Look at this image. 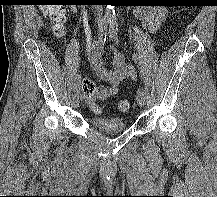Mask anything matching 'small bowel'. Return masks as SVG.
<instances>
[{"label": "small bowel", "mask_w": 217, "mask_h": 197, "mask_svg": "<svg viewBox=\"0 0 217 197\" xmlns=\"http://www.w3.org/2000/svg\"><path fill=\"white\" fill-rule=\"evenodd\" d=\"M72 13H76L75 7L71 8ZM165 11L162 8H143L136 10V16L141 20L143 26L149 31H156L165 19ZM104 50V43L98 38L96 39L89 52V60L96 71L99 78L109 83L106 89V99L117 94L119 85L123 81H133L137 77L136 70L128 60L127 56L118 51L115 47L114 56L112 60L113 70H108L103 66L102 54Z\"/></svg>", "instance_id": "obj_1"}]
</instances>
